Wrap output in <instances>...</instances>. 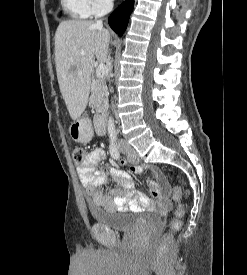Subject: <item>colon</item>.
Masks as SVG:
<instances>
[{
	"mask_svg": "<svg viewBox=\"0 0 247 275\" xmlns=\"http://www.w3.org/2000/svg\"><path fill=\"white\" fill-rule=\"evenodd\" d=\"M85 158V151L81 147H76L73 151V160L80 164ZM182 191L179 187L173 189V198L175 202L178 203V206L175 210V218L171 220L169 224L168 233L163 237L161 246L163 249L168 248L172 242V235L175 232H178L182 227V218L185 214L184 207L181 204Z\"/></svg>",
	"mask_w": 247,
	"mask_h": 275,
	"instance_id": "colon-1",
	"label": "colon"
}]
</instances>
